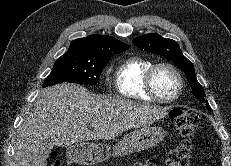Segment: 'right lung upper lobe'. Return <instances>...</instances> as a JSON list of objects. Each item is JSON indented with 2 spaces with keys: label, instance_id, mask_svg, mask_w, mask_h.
Returning <instances> with one entry per match:
<instances>
[{
  "label": "right lung upper lobe",
  "instance_id": "1",
  "mask_svg": "<svg viewBox=\"0 0 231 166\" xmlns=\"http://www.w3.org/2000/svg\"><path fill=\"white\" fill-rule=\"evenodd\" d=\"M130 46L107 35H90L75 39L71 42L66 53H75L86 56H105L126 51Z\"/></svg>",
  "mask_w": 231,
  "mask_h": 166
}]
</instances>
